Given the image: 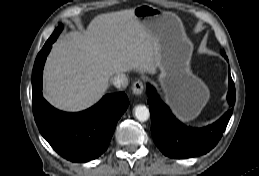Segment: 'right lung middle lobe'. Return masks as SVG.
I'll use <instances>...</instances> for the list:
<instances>
[{"mask_svg": "<svg viewBox=\"0 0 259 176\" xmlns=\"http://www.w3.org/2000/svg\"><path fill=\"white\" fill-rule=\"evenodd\" d=\"M61 31H62V25H59V26L55 29V31L53 32L52 35H58ZM52 35H51V36H52Z\"/></svg>", "mask_w": 259, "mask_h": 176, "instance_id": "right-lung-middle-lobe-1", "label": "right lung middle lobe"}]
</instances>
